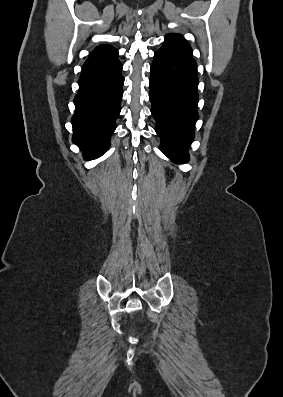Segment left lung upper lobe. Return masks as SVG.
I'll list each match as a JSON object with an SVG mask.
<instances>
[{"instance_id": "obj_1", "label": "left lung upper lobe", "mask_w": 283, "mask_h": 397, "mask_svg": "<svg viewBox=\"0 0 283 397\" xmlns=\"http://www.w3.org/2000/svg\"><path fill=\"white\" fill-rule=\"evenodd\" d=\"M164 44L174 48L178 52L185 55L187 58L194 60L192 58V49L184 37L180 34H167L165 36ZM195 61V60H194Z\"/></svg>"}]
</instances>
